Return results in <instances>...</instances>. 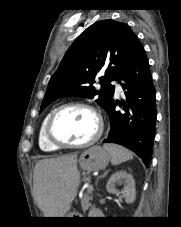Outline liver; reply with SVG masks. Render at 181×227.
<instances>
[{"label":"liver","mask_w":181,"mask_h":227,"mask_svg":"<svg viewBox=\"0 0 181 227\" xmlns=\"http://www.w3.org/2000/svg\"><path fill=\"white\" fill-rule=\"evenodd\" d=\"M33 182L38 207L45 217H64L80 184L77 154L40 160L34 168Z\"/></svg>","instance_id":"6515ba94"}]
</instances>
